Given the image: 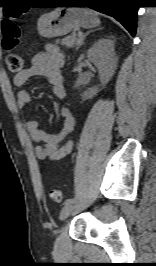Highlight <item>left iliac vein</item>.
<instances>
[{
  "label": "left iliac vein",
  "instance_id": "1",
  "mask_svg": "<svg viewBox=\"0 0 156 266\" xmlns=\"http://www.w3.org/2000/svg\"><path fill=\"white\" fill-rule=\"evenodd\" d=\"M73 209H74L73 204L65 205L60 211V216H59L60 220H65L66 218H68L72 213Z\"/></svg>",
  "mask_w": 156,
  "mask_h": 266
}]
</instances>
